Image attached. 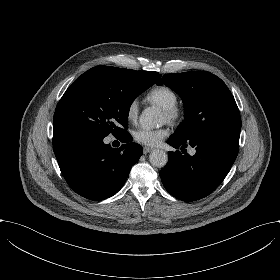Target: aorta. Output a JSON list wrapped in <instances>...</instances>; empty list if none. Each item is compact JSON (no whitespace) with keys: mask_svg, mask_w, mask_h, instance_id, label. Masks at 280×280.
I'll use <instances>...</instances> for the list:
<instances>
[{"mask_svg":"<svg viewBox=\"0 0 280 280\" xmlns=\"http://www.w3.org/2000/svg\"><path fill=\"white\" fill-rule=\"evenodd\" d=\"M160 110L157 107H147L139 117V123L145 130H151L160 127ZM149 161L152 166L162 168L167 164L168 155L165 151L155 149L149 155Z\"/></svg>","mask_w":280,"mask_h":280,"instance_id":"aorta-1","label":"aorta"}]
</instances>
